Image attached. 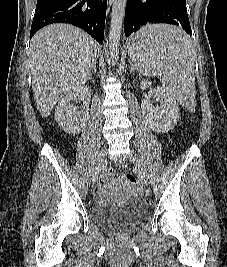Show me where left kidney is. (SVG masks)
Wrapping results in <instances>:
<instances>
[{
	"label": "left kidney",
	"mask_w": 227,
	"mask_h": 267,
	"mask_svg": "<svg viewBox=\"0 0 227 267\" xmlns=\"http://www.w3.org/2000/svg\"><path fill=\"white\" fill-rule=\"evenodd\" d=\"M151 85L148 81H142L140 88L147 89ZM156 96L160 105L156 108L144 101L143 107L147 109L146 121L149 127L158 133H165L173 129L179 118V106L171 94L162 87H157Z\"/></svg>",
	"instance_id": "obj_1"
}]
</instances>
